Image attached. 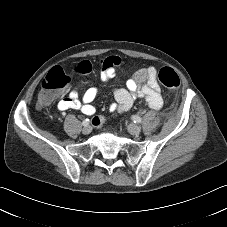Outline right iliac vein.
<instances>
[{"mask_svg": "<svg viewBox=\"0 0 227 227\" xmlns=\"http://www.w3.org/2000/svg\"><path fill=\"white\" fill-rule=\"evenodd\" d=\"M91 131H92V127H91V126H89V125L84 126V127H83V129H82V132H83V134H85V135L90 134V133H91Z\"/></svg>", "mask_w": 227, "mask_h": 227, "instance_id": "right-iliac-vein-1", "label": "right iliac vein"}]
</instances>
